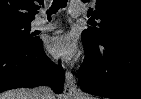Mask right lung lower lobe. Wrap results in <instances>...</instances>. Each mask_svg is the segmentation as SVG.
Segmentation results:
<instances>
[{
    "label": "right lung lower lobe",
    "instance_id": "1",
    "mask_svg": "<svg viewBox=\"0 0 141 99\" xmlns=\"http://www.w3.org/2000/svg\"><path fill=\"white\" fill-rule=\"evenodd\" d=\"M64 72L44 53L41 39L29 43L0 41V92L18 88L51 85L61 93Z\"/></svg>",
    "mask_w": 141,
    "mask_h": 99
}]
</instances>
